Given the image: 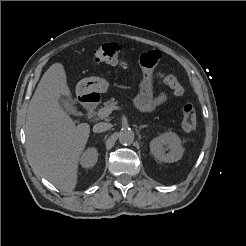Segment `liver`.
<instances>
[{
	"label": "liver",
	"mask_w": 246,
	"mask_h": 246,
	"mask_svg": "<svg viewBox=\"0 0 246 246\" xmlns=\"http://www.w3.org/2000/svg\"><path fill=\"white\" fill-rule=\"evenodd\" d=\"M71 100L64 66L52 64L42 76L26 116V148L34 169L58 189L71 192L78 179V163L87 144L90 126L75 125L59 105Z\"/></svg>",
	"instance_id": "1"
}]
</instances>
